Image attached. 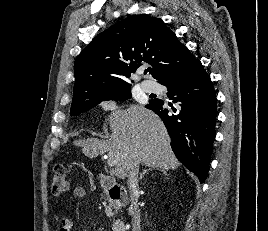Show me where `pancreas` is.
<instances>
[{
  "label": "pancreas",
  "instance_id": "1",
  "mask_svg": "<svg viewBox=\"0 0 268 231\" xmlns=\"http://www.w3.org/2000/svg\"><path fill=\"white\" fill-rule=\"evenodd\" d=\"M104 208H105V213L107 214V216L109 217H113L114 212H113V208H114V204L113 203H107L106 200L103 202Z\"/></svg>",
  "mask_w": 268,
  "mask_h": 231
}]
</instances>
